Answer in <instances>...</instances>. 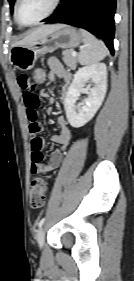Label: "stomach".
I'll use <instances>...</instances> for the list:
<instances>
[{
	"instance_id": "0dacf381",
	"label": "stomach",
	"mask_w": 134,
	"mask_h": 281,
	"mask_svg": "<svg viewBox=\"0 0 134 281\" xmlns=\"http://www.w3.org/2000/svg\"><path fill=\"white\" fill-rule=\"evenodd\" d=\"M83 40L82 34L69 25L61 27L33 43L16 45L10 50V61L15 68L27 71L34 67L37 59L48 52L58 48H74Z\"/></svg>"
}]
</instances>
